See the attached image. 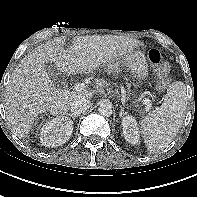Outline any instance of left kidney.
<instances>
[{"label": "left kidney", "mask_w": 197, "mask_h": 197, "mask_svg": "<svg viewBox=\"0 0 197 197\" xmlns=\"http://www.w3.org/2000/svg\"><path fill=\"white\" fill-rule=\"evenodd\" d=\"M123 134L129 143L136 145L139 143V131L135 118L126 116L122 120Z\"/></svg>", "instance_id": "5707ae66"}]
</instances>
